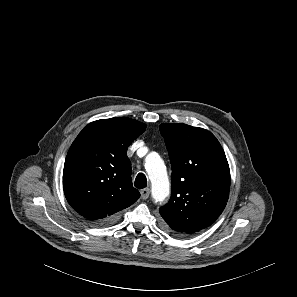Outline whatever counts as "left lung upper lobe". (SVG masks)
<instances>
[{
    "label": "left lung upper lobe",
    "instance_id": "obj_1",
    "mask_svg": "<svg viewBox=\"0 0 297 297\" xmlns=\"http://www.w3.org/2000/svg\"><path fill=\"white\" fill-rule=\"evenodd\" d=\"M172 167V194L160 208L163 226L188 236L215 222L226 206L230 170L224 150L209 131L180 123L159 126Z\"/></svg>",
    "mask_w": 297,
    "mask_h": 297
}]
</instances>
